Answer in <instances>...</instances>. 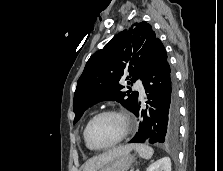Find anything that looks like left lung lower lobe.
Here are the masks:
<instances>
[{
  "label": "left lung lower lobe",
  "instance_id": "left-lung-lower-lobe-1",
  "mask_svg": "<svg viewBox=\"0 0 223 171\" xmlns=\"http://www.w3.org/2000/svg\"><path fill=\"white\" fill-rule=\"evenodd\" d=\"M142 83L148 109H141V102L137 103L133 113L140 117V123L129 143L174 144L179 130L177 87L161 41L157 42L149 59Z\"/></svg>",
  "mask_w": 223,
  "mask_h": 171
}]
</instances>
